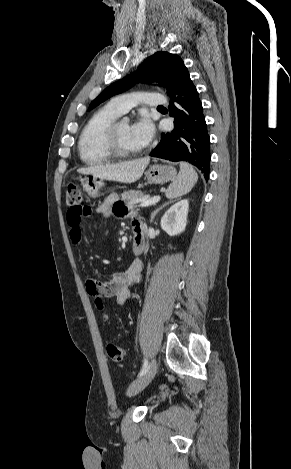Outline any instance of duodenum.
<instances>
[{
    "mask_svg": "<svg viewBox=\"0 0 291 469\" xmlns=\"http://www.w3.org/2000/svg\"><path fill=\"white\" fill-rule=\"evenodd\" d=\"M134 229V236L132 241V249L135 255H140L145 247V234L143 227L135 226Z\"/></svg>",
    "mask_w": 291,
    "mask_h": 469,
    "instance_id": "1",
    "label": "duodenum"
}]
</instances>
